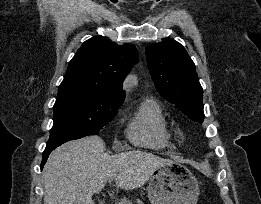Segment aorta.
Masks as SVG:
<instances>
[{
    "label": "aorta",
    "mask_w": 261,
    "mask_h": 204,
    "mask_svg": "<svg viewBox=\"0 0 261 204\" xmlns=\"http://www.w3.org/2000/svg\"><path fill=\"white\" fill-rule=\"evenodd\" d=\"M137 82V78L133 75H129L125 81V88H131L133 87Z\"/></svg>",
    "instance_id": "aorta-1"
}]
</instances>
